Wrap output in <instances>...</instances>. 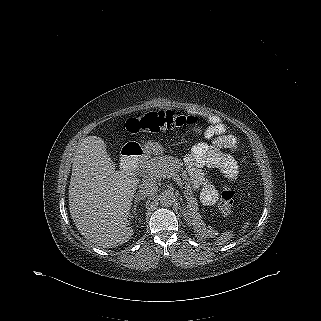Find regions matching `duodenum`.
Wrapping results in <instances>:
<instances>
[{"label":"duodenum","mask_w":321,"mask_h":321,"mask_svg":"<svg viewBox=\"0 0 321 321\" xmlns=\"http://www.w3.org/2000/svg\"><path fill=\"white\" fill-rule=\"evenodd\" d=\"M133 158V156H123V163H124V168H126L127 164L129 163V161Z\"/></svg>","instance_id":"410a0bca"}]
</instances>
